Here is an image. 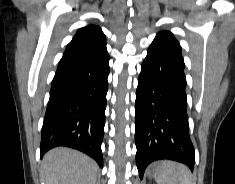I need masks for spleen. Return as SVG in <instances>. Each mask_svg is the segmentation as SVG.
I'll list each match as a JSON object with an SVG mask.
<instances>
[{
  "instance_id": "1",
  "label": "spleen",
  "mask_w": 235,
  "mask_h": 184,
  "mask_svg": "<svg viewBox=\"0 0 235 184\" xmlns=\"http://www.w3.org/2000/svg\"><path fill=\"white\" fill-rule=\"evenodd\" d=\"M153 176L157 184H193L189 168L170 160L156 162Z\"/></svg>"
}]
</instances>
